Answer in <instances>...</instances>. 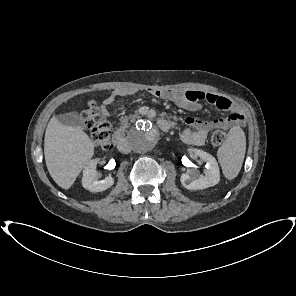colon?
Wrapping results in <instances>:
<instances>
[{"instance_id":"1","label":"colon","mask_w":296,"mask_h":296,"mask_svg":"<svg viewBox=\"0 0 296 296\" xmlns=\"http://www.w3.org/2000/svg\"><path fill=\"white\" fill-rule=\"evenodd\" d=\"M81 119L91 131L94 145L101 150H109L112 147L111 126L105 114L91 101L81 111ZM227 132L218 129L211 136V143L215 146L222 145L227 140Z\"/></svg>"}]
</instances>
